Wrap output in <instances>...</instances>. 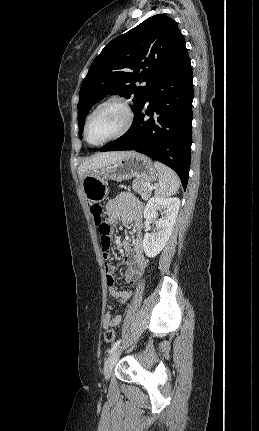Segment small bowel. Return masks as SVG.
I'll list each match as a JSON object with an SVG mask.
<instances>
[{"label":"small bowel","instance_id":"obj_1","mask_svg":"<svg viewBox=\"0 0 259 431\" xmlns=\"http://www.w3.org/2000/svg\"><path fill=\"white\" fill-rule=\"evenodd\" d=\"M142 203L131 193H122L111 199L106 206L107 219L112 224L121 222L125 226L134 228V239L122 241V248L128 252L123 259L122 264L127 270V279L130 286L135 287L145 270L147 261L143 251V239L141 232L142 225ZM105 270L107 274V284L109 287V296L111 299L120 303H127L132 296L131 290H119L114 285L116 266L112 263H106ZM112 305H109L103 318V327L105 329L116 327L121 322L120 315L111 313Z\"/></svg>","mask_w":259,"mask_h":431}]
</instances>
